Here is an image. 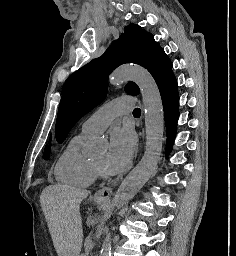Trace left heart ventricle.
<instances>
[{
	"label": "left heart ventricle",
	"mask_w": 236,
	"mask_h": 256,
	"mask_svg": "<svg viewBox=\"0 0 236 256\" xmlns=\"http://www.w3.org/2000/svg\"><path fill=\"white\" fill-rule=\"evenodd\" d=\"M95 163L99 164V165H102L103 167H106V152L100 154L95 160H94Z\"/></svg>",
	"instance_id": "obj_1"
}]
</instances>
